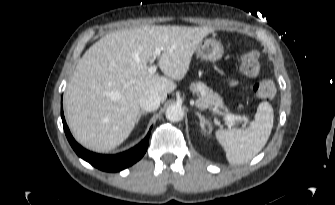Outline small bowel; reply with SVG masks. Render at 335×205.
Segmentation results:
<instances>
[{
  "mask_svg": "<svg viewBox=\"0 0 335 205\" xmlns=\"http://www.w3.org/2000/svg\"><path fill=\"white\" fill-rule=\"evenodd\" d=\"M230 84H231V85H235L236 82H235L234 80L231 79V80H230Z\"/></svg>",
  "mask_w": 335,
  "mask_h": 205,
  "instance_id": "obj_1",
  "label": "small bowel"
}]
</instances>
